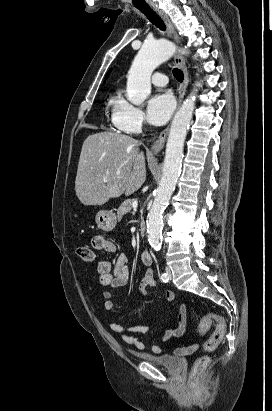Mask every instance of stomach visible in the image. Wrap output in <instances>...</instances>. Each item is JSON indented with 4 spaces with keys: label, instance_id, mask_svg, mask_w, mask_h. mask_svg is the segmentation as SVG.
Masks as SVG:
<instances>
[{
    "label": "stomach",
    "instance_id": "1",
    "mask_svg": "<svg viewBox=\"0 0 272 411\" xmlns=\"http://www.w3.org/2000/svg\"><path fill=\"white\" fill-rule=\"evenodd\" d=\"M98 228L103 231H112L117 224V216L113 211L100 210L95 217Z\"/></svg>",
    "mask_w": 272,
    "mask_h": 411
}]
</instances>
